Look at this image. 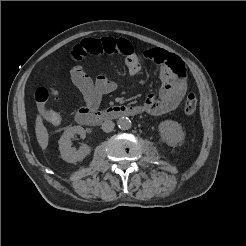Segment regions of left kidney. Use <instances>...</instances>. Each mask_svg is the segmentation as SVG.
I'll return each instance as SVG.
<instances>
[{"mask_svg":"<svg viewBox=\"0 0 246 246\" xmlns=\"http://www.w3.org/2000/svg\"><path fill=\"white\" fill-rule=\"evenodd\" d=\"M158 128L162 140L170 146L181 143L185 139V133L183 132L182 126L176 121H162Z\"/></svg>","mask_w":246,"mask_h":246,"instance_id":"1","label":"left kidney"}]
</instances>
